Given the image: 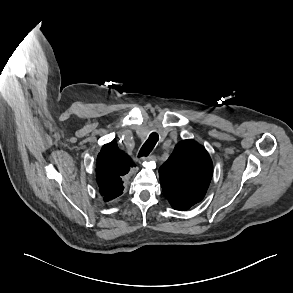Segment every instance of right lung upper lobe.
Here are the masks:
<instances>
[{
  "instance_id": "1",
  "label": "right lung upper lobe",
  "mask_w": 293,
  "mask_h": 293,
  "mask_svg": "<svg viewBox=\"0 0 293 293\" xmlns=\"http://www.w3.org/2000/svg\"><path fill=\"white\" fill-rule=\"evenodd\" d=\"M134 166L130 156L121 151L116 142L105 144L97 157L96 181L105 201L123 193L124 176Z\"/></svg>"
}]
</instances>
